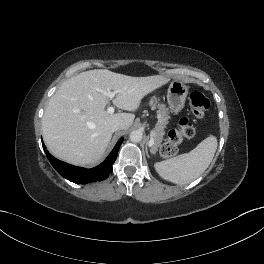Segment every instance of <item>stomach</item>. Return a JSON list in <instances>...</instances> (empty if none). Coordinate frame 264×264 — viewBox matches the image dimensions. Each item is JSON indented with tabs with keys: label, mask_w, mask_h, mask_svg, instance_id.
<instances>
[{
	"label": "stomach",
	"mask_w": 264,
	"mask_h": 264,
	"mask_svg": "<svg viewBox=\"0 0 264 264\" xmlns=\"http://www.w3.org/2000/svg\"><path fill=\"white\" fill-rule=\"evenodd\" d=\"M187 95L188 87L182 81H172L167 92V101L171 111L174 113L181 111L185 105Z\"/></svg>",
	"instance_id": "obj_1"
}]
</instances>
